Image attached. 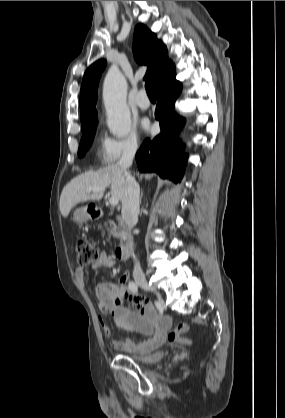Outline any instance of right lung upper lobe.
<instances>
[{
  "mask_svg": "<svg viewBox=\"0 0 285 418\" xmlns=\"http://www.w3.org/2000/svg\"><path fill=\"white\" fill-rule=\"evenodd\" d=\"M133 52L137 62L148 66L144 79H152L157 91L176 76L174 64L166 57L165 45L145 25L134 31ZM107 62L100 59L85 72L80 91V119L82 127L97 121L96 101L98 84Z\"/></svg>",
  "mask_w": 285,
  "mask_h": 418,
  "instance_id": "obj_1",
  "label": "right lung upper lobe"
}]
</instances>
